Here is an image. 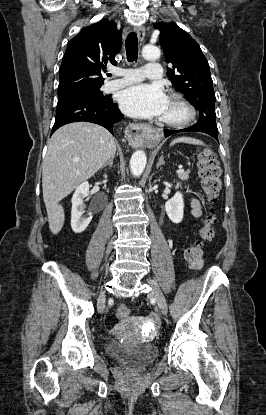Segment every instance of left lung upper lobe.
I'll list each match as a JSON object with an SVG mask.
<instances>
[{"mask_svg":"<svg viewBox=\"0 0 266 415\" xmlns=\"http://www.w3.org/2000/svg\"><path fill=\"white\" fill-rule=\"evenodd\" d=\"M164 51L168 77L176 91L199 111V120L191 128L195 132L218 135L215 121V93L210 67L198 43L175 23H156Z\"/></svg>","mask_w":266,"mask_h":415,"instance_id":"left-lung-upper-lobe-1","label":"left lung upper lobe"}]
</instances>
